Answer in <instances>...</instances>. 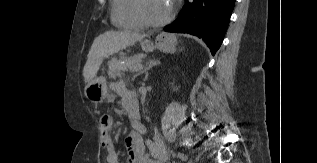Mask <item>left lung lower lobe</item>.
<instances>
[{
    "label": "left lung lower lobe",
    "mask_w": 317,
    "mask_h": 163,
    "mask_svg": "<svg viewBox=\"0 0 317 163\" xmlns=\"http://www.w3.org/2000/svg\"><path fill=\"white\" fill-rule=\"evenodd\" d=\"M234 5L235 0H187L178 18L164 31L202 38L214 55L223 41Z\"/></svg>",
    "instance_id": "left-lung-lower-lobe-1"
}]
</instances>
